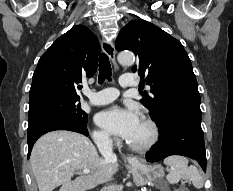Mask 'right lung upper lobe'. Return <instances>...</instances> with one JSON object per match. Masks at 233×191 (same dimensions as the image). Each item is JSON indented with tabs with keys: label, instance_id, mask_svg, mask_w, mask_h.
Wrapping results in <instances>:
<instances>
[{
	"label": "right lung upper lobe",
	"instance_id": "obj_1",
	"mask_svg": "<svg viewBox=\"0 0 233 191\" xmlns=\"http://www.w3.org/2000/svg\"><path fill=\"white\" fill-rule=\"evenodd\" d=\"M100 44L83 26L72 27L42 55L33 74L29 99L45 93L78 98L76 84L97 69Z\"/></svg>",
	"mask_w": 233,
	"mask_h": 191
}]
</instances>
